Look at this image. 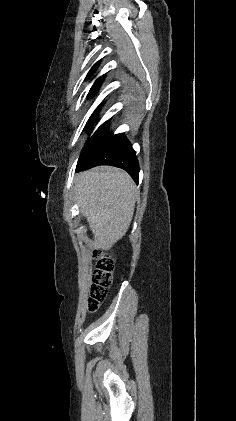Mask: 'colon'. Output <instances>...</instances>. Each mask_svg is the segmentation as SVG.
<instances>
[{
	"instance_id": "1",
	"label": "colon",
	"mask_w": 236,
	"mask_h": 421,
	"mask_svg": "<svg viewBox=\"0 0 236 421\" xmlns=\"http://www.w3.org/2000/svg\"><path fill=\"white\" fill-rule=\"evenodd\" d=\"M114 262L105 254H97L96 268L93 273L88 309L96 312L105 300L113 281Z\"/></svg>"
}]
</instances>
